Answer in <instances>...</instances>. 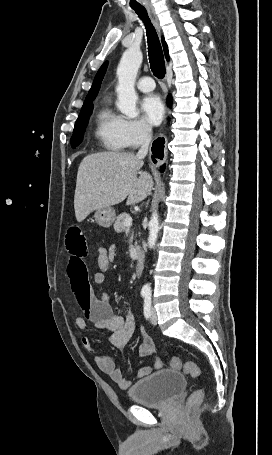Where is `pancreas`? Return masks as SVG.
<instances>
[{
  "label": "pancreas",
  "mask_w": 272,
  "mask_h": 455,
  "mask_svg": "<svg viewBox=\"0 0 272 455\" xmlns=\"http://www.w3.org/2000/svg\"><path fill=\"white\" fill-rule=\"evenodd\" d=\"M128 217V214L122 213L120 214L114 223V230L117 233L123 232L126 230L125 220Z\"/></svg>",
  "instance_id": "1"
}]
</instances>
